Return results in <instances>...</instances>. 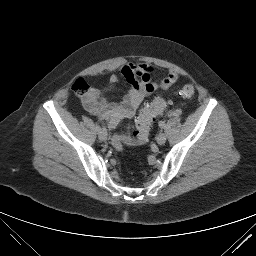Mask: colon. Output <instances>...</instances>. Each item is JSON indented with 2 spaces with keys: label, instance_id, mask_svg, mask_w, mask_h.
I'll list each match as a JSON object with an SVG mask.
<instances>
[{
  "label": "colon",
  "instance_id": "1",
  "mask_svg": "<svg viewBox=\"0 0 256 256\" xmlns=\"http://www.w3.org/2000/svg\"><path fill=\"white\" fill-rule=\"evenodd\" d=\"M73 91L80 97H87L90 92L89 85L83 80L78 79L72 86ZM195 89L192 85H184L179 90V95L184 98H190L194 95ZM168 106V101L163 97H156L151 102L145 104L140 115L137 118L136 130L126 135L117 133L112 137V145L117 151H122L123 142L132 144H142L147 141L150 133V128L157 116H159Z\"/></svg>",
  "mask_w": 256,
  "mask_h": 256
}]
</instances>
